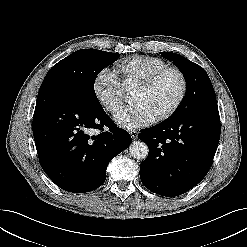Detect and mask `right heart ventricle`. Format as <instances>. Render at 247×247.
<instances>
[{
  "instance_id": "obj_1",
  "label": "right heart ventricle",
  "mask_w": 247,
  "mask_h": 247,
  "mask_svg": "<svg viewBox=\"0 0 247 247\" xmlns=\"http://www.w3.org/2000/svg\"><path fill=\"white\" fill-rule=\"evenodd\" d=\"M168 64L152 56H134L119 61L114 68V74L122 86L138 84L143 78L152 72L167 66Z\"/></svg>"
}]
</instances>
